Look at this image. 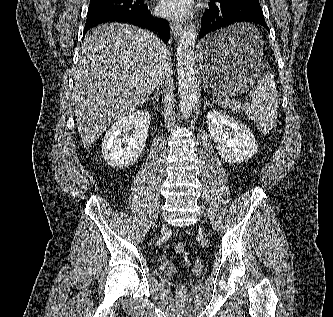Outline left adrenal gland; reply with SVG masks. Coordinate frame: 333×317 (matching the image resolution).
I'll return each instance as SVG.
<instances>
[{"instance_id":"a2214340","label":"left adrenal gland","mask_w":333,"mask_h":317,"mask_svg":"<svg viewBox=\"0 0 333 317\" xmlns=\"http://www.w3.org/2000/svg\"><path fill=\"white\" fill-rule=\"evenodd\" d=\"M206 106H211V104L209 103V100H208V99H206V102H205V104H204V108H205Z\"/></svg>"}]
</instances>
